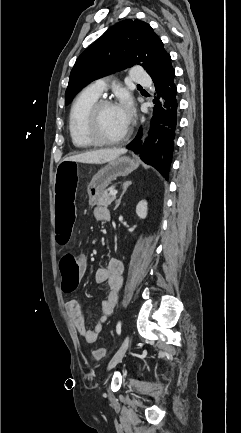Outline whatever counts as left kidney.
<instances>
[{
  "mask_svg": "<svg viewBox=\"0 0 241 433\" xmlns=\"http://www.w3.org/2000/svg\"><path fill=\"white\" fill-rule=\"evenodd\" d=\"M147 205L148 204H147L146 200H142L137 204L136 214L139 218L145 219L147 217V211H148Z\"/></svg>",
  "mask_w": 241,
  "mask_h": 433,
  "instance_id": "5707ae66",
  "label": "left kidney"
}]
</instances>
